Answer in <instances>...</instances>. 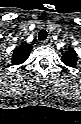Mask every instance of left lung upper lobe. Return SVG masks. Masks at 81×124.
<instances>
[{"instance_id":"5c2ea615","label":"left lung upper lobe","mask_w":81,"mask_h":124,"mask_svg":"<svg viewBox=\"0 0 81 124\" xmlns=\"http://www.w3.org/2000/svg\"><path fill=\"white\" fill-rule=\"evenodd\" d=\"M62 62L69 67H75L77 65V53L73 48H69L62 56Z\"/></svg>"}]
</instances>
